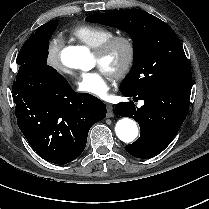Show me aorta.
<instances>
[{"mask_svg":"<svg viewBox=\"0 0 209 209\" xmlns=\"http://www.w3.org/2000/svg\"><path fill=\"white\" fill-rule=\"evenodd\" d=\"M62 63L72 69L88 71L93 67V59L85 46H68L61 52ZM117 137L123 142H132L138 136V127L130 118L120 119L115 126Z\"/></svg>","mask_w":209,"mask_h":209,"instance_id":"762f6f07","label":"aorta"}]
</instances>
